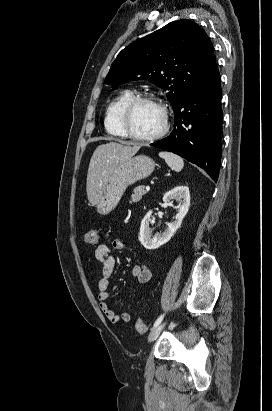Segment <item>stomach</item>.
Returning <instances> with one entry per match:
<instances>
[{"mask_svg": "<svg viewBox=\"0 0 272 411\" xmlns=\"http://www.w3.org/2000/svg\"><path fill=\"white\" fill-rule=\"evenodd\" d=\"M155 162L148 156L138 155L119 164L112 172L104 186L97 212L107 215L113 211L121 200L126 188L152 174Z\"/></svg>", "mask_w": 272, "mask_h": 411, "instance_id": "0dacf381", "label": "stomach"}]
</instances>
